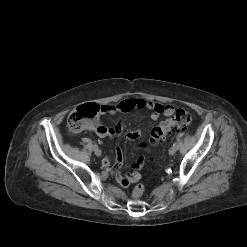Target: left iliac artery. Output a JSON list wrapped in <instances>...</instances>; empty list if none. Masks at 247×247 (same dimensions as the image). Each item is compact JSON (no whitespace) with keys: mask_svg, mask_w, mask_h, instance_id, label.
Listing matches in <instances>:
<instances>
[{"mask_svg":"<svg viewBox=\"0 0 247 247\" xmlns=\"http://www.w3.org/2000/svg\"><path fill=\"white\" fill-rule=\"evenodd\" d=\"M173 146L176 147V148H178V143L177 142H174L173 143Z\"/></svg>","mask_w":247,"mask_h":247,"instance_id":"44dca946","label":"left iliac artery"}]
</instances>
